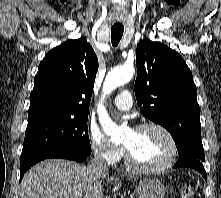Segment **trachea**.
<instances>
[{"instance_id":"3493384b","label":"trachea","mask_w":221,"mask_h":198,"mask_svg":"<svg viewBox=\"0 0 221 198\" xmlns=\"http://www.w3.org/2000/svg\"><path fill=\"white\" fill-rule=\"evenodd\" d=\"M124 32L123 26H113L111 28V42L114 47L120 42Z\"/></svg>"}]
</instances>
